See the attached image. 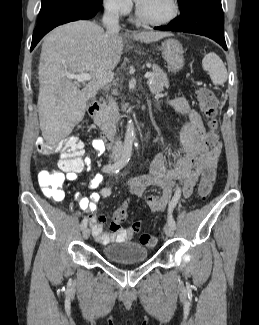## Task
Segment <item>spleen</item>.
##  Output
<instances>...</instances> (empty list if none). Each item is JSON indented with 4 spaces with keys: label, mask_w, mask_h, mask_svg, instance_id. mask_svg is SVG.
Segmentation results:
<instances>
[{
    "label": "spleen",
    "mask_w": 259,
    "mask_h": 325,
    "mask_svg": "<svg viewBox=\"0 0 259 325\" xmlns=\"http://www.w3.org/2000/svg\"><path fill=\"white\" fill-rule=\"evenodd\" d=\"M202 67L210 75L213 84L222 85L227 81L226 67L216 53L211 52L205 55L202 60Z\"/></svg>",
    "instance_id": "spleen-1"
}]
</instances>
